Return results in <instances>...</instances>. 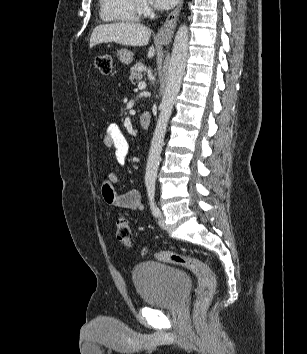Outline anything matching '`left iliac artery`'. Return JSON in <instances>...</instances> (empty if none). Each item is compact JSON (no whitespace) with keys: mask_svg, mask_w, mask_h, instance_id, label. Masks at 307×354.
Wrapping results in <instances>:
<instances>
[{"mask_svg":"<svg viewBox=\"0 0 307 354\" xmlns=\"http://www.w3.org/2000/svg\"><path fill=\"white\" fill-rule=\"evenodd\" d=\"M147 192H148V198H149V204H150V208L152 211V214L155 217H158L160 215V210L157 207L156 203H155V185L154 184H148L147 185Z\"/></svg>","mask_w":307,"mask_h":354,"instance_id":"left-iliac-artery-1","label":"left iliac artery"}]
</instances>
